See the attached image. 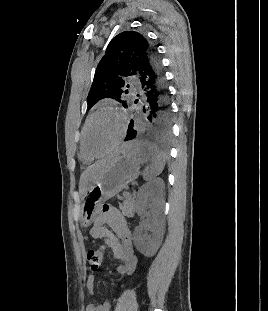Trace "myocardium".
<instances>
[{
    "label": "myocardium",
    "mask_w": 268,
    "mask_h": 311,
    "mask_svg": "<svg viewBox=\"0 0 268 311\" xmlns=\"http://www.w3.org/2000/svg\"><path fill=\"white\" fill-rule=\"evenodd\" d=\"M104 111H110L118 117V119L120 121V132H119V135H118L117 139L115 140V142L112 144V146L107 151H105L104 153H101V154H94L87 147L86 133H87L88 126H89L90 122L92 121V119ZM126 132H127V120H126L125 114L115 106L104 105V106L97 108L94 112H92L87 117V119L84 123L83 129H82L81 144H82L84 151L87 153L88 156H90L91 158H102V157L110 154L112 151H114L122 143V141L126 135Z\"/></svg>",
    "instance_id": "f54148a6"
}]
</instances>
